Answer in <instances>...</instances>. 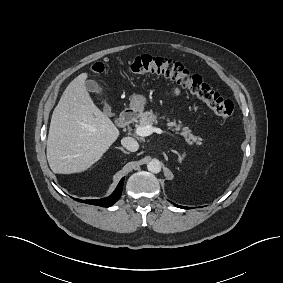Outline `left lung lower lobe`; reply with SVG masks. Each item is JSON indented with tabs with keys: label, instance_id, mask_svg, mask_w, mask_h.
<instances>
[{
	"label": "left lung lower lobe",
	"instance_id": "obj_1",
	"mask_svg": "<svg viewBox=\"0 0 283 283\" xmlns=\"http://www.w3.org/2000/svg\"><path fill=\"white\" fill-rule=\"evenodd\" d=\"M173 204H174V203H173ZM174 205L177 206V207H180V208L188 209V207L179 206V205H176V204H174Z\"/></svg>",
	"mask_w": 283,
	"mask_h": 283
}]
</instances>
